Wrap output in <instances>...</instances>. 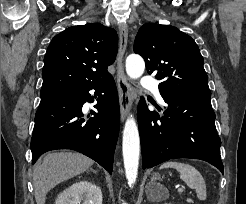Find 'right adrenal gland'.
Masks as SVG:
<instances>
[{"label": "right adrenal gland", "instance_id": "1", "mask_svg": "<svg viewBox=\"0 0 246 204\" xmlns=\"http://www.w3.org/2000/svg\"><path fill=\"white\" fill-rule=\"evenodd\" d=\"M90 171L94 172V173H97L96 170H94L93 168H90Z\"/></svg>", "mask_w": 246, "mask_h": 204}]
</instances>
